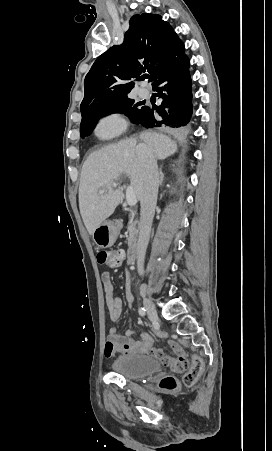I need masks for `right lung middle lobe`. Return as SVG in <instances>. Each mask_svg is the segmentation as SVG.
<instances>
[{
  "label": "right lung middle lobe",
  "instance_id": "dd1d6c3e",
  "mask_svg": "<svg viewBox=\"0 0 272 451\" xmlns=\"http://www.w3.org/2000/svg\"><path fill=\"white\" fill-rule=\"evenodd\" d=\"M140 104L134 103L131 98H123L120 100L104 103L86 110L82 114L80 125V135L82 138L89 135L95 127L96 122L103 116L111 113H123L127 115L133 123H137L142 119V115L146 107L138 108Z\"/></svg>",
  "mask_w": 272,
  "mask_h": 451
}]
</instances>
